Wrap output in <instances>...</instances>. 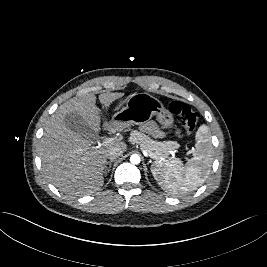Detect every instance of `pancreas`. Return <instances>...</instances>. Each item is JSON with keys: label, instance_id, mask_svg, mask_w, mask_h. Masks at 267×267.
<instances>
[{"label": "pancreas", "instance_id": "cf45deb5", "mask_svg": "<svg viewBox=\"0 0 267 267\" xmlns=\"http://www.w3.org/2000/svg\"><path fill=\"white\" fill-rule=\"evenodd\" d=\"M130 141L140 145L141 150L152 154L154 159L167 158L169 151L178 147L177 142L156 141L136 130L131 132Z\"/></svg>", "mask_w": 267, "mask_h": 267}]
</instances>
